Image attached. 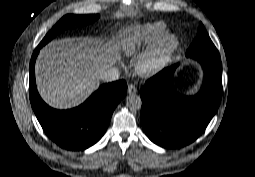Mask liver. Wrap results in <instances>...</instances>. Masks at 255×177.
Instances as JSON below:
<instances>
[{
	"instance_id": "obj_1",
	"label": "liver",
	"mask_w": 255,
	"mask_h": 177,
	"mask_svg": "<svg viewBox=\"0 0 255 177\" xmlns=\"http://www.w3.org/2000/svg\"><path fill=\"white\" fill-rule=\"evenodd\" d=\"M117 59L115 45L97 38L54 40L40 51L35 72L42 98L56 108L81 104Z\"/></svg>"
}]
</instances>
